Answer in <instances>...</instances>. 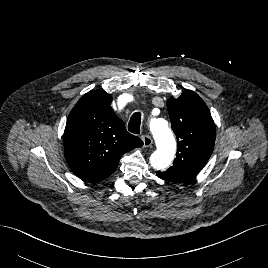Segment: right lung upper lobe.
Returning <instances> with one entry per match:
<instances>
[{
  "instance_id": "1",
  "label": "right lung upper lobe",
  "mask_w": 268,
  "mask_h": 268,
  "mask_svg": "<svg viewBox=\"0 0 268 268\" xmlns=\"http://www.w3.org/2000/svg\"><path fill=\"white\" fill-rule=\"evenodd\" d=\"M105 91L86 93L70 112L65 131V159L83 181L96 183L115 172L121 156L141 147L140 138L127 132L110 107Z\"/></svg>"
}]
</instances>
